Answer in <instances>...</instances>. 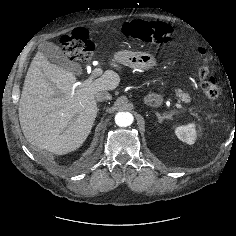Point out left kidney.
Listing matches in <instances>:
<instances>
[{
    "instance_id": "5707ae66",
    "label": "left kidney",
    "mask_w": 236,
    "mask_h": 236,
    "mask_svg": "<svg viewBox=\"0 0 236 236\" xmlns=\"http://www.w3.org/2000/svg\"><path fill=\"white\" fill-rule=\"evenodd\" d=\"M175 134L182 142L192 145L195 143L197 136L195 124L178 126L175 129Z\"/></svg>"
}]
</instances>
